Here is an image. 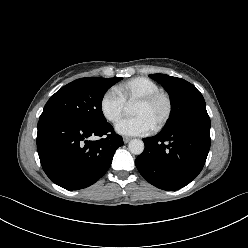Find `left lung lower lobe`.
<instances>
[{
  "mask_svg": "<svg viewBox=\"0 0 248 248\" xmlns=\"http://www.w3.org/2000/svg\"><path fill=\"white\" fill-rule=\"evenodd\" d=\"M143 141L145 150L135 161L141 175L160 189L178 190L195 179L205 164L211 144L210 118L190 120Z\"/></svg>",
  "mask_w": 248,
  "mask_h": 248,
  "instance_id": "0a47b994",
  "label": "left lung lower lobe"
}]
</instances>
